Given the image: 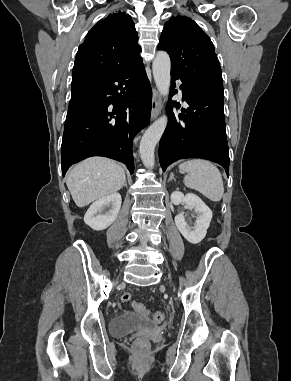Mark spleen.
Masks as SVG:
<instances>
[{
    "label": "spleen",
    "mask_w": 291,
    "mask_h": 381,
    "mask_svg": "<svg viewBox=\"0 0 291 381\" xmlns=\"http://www.w3.org/2000/svg\"><path fill=\"white\" fill-rule=\"evenodd\" d=\"M181 173H188L184 184L195 189L213 202H219L224 193L220 171L211 162L203 159H191L179 166Z\"/></svg>",
    "instance_id": "obj_1"
}]
</instances>
